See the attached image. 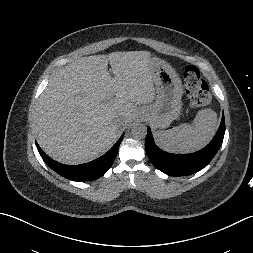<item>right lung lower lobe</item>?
I'll list each match as a JSON object with an SVG mask.
<instances>
[{
  "mask_svg": "<svg viewBox=\"0 0 253 253\" xmlns=\"http://www.w3.org/2000/svg\"><path fill=\"white\" fill-rule=\"evenodd\" d=\"M123 136L103 156L81 165H64L48 157L36 143L37 149L46 164L59 175L73 181H89L101 177L113 164Z\"/></svg>",
  "mask_w": 253,
  "mask_h": 253,
  "instance_id": "98d812e1",
  "label": "right lung lower lobe"
}]
</instances>
